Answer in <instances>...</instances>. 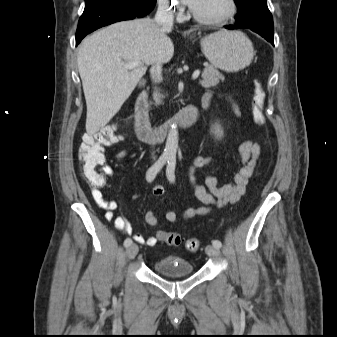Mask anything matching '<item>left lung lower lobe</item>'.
<instances>
[{"label": "left lung lower lobe", "instance_id": "left-lung-lower-lobe-1", "mask_svg": "<svg viewBox=\"0 0 337 337\" xmlns=\"http://www.w3.org/2000/svg\"><path fill=\"white\" fill-rule=\"evenodd\" d=\"M227 29L246 28L258 33L267 41L274 45V26L273 22H265L260 19L243 18L237 20L235 25L225 26Z\"/></svg>", "mask_w": 337, "mask_h": 337}]
</instances>
